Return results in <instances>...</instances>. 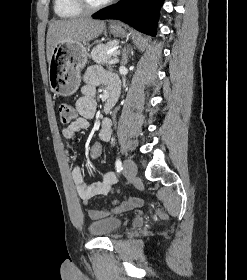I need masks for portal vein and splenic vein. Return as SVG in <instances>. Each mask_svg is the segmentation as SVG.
Here are the masks:
<instances>
[{"mask_svg": "<svg viewBox=\"0 0 247 280\" xmlns=\"http://www.w3.org/2000/svg\"><path fill=\"white\" fill-rule=\"evenodd\" d=\"M108 53H110V52H108ZM111 54H113L114 57L111 60H109L108 63L109 64L117 63L119 61L118 58H117V55H119V51H111Z\"/></svg>", "mask_w": 247, "mask_h": 280, "instance_id": "1", "label": "portal vein and splenic vein"}]
</instances>
